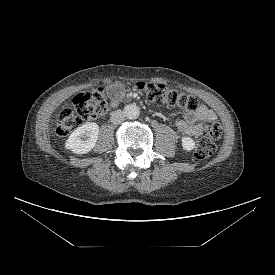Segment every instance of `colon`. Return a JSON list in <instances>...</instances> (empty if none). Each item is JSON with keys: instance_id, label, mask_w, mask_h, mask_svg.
<instances>
[{"instance_id": "5ec220e1", "label": "colon", "mask_w": 275, "mask_h": 275, "mask_svg": "<svg viewBox=\"0 0 275 275\" xmlns=\"http://www.w3.org/2000/svg\"><path fill=\"white\" fill-rule=\"evenodd\" d=\"M135 90L155 105L178 107L191 112L201 107L195 96L178 92L163 84L139 82L135 85ZM72 103L73 110H63L56 121V133L61 137L68 135L85 121L101 117L106 111V94L102 88H96L77 94ZM221 135L222 129L218 123L205 129L197 142L195 157L206 159L212 156L216 151V142Z\"/></svg>"}]
</instances>
